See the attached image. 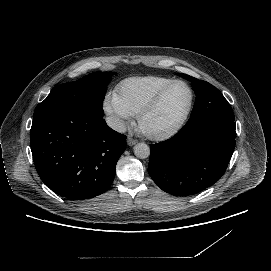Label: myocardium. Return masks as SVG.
I'll use <instances>...</instances> for the list:
<instances>
[{"instance_id": "1", "label": "myocardium", "mask_w": 271, "mask_h": 271, "mask_svg": "<svg viewBox=\"0 0 271 271\" xmlns=\"http://www.w3.org/2000/svg\"><path fill=\"white\" fill-rule=\"evenodd\" d=\"M178 83H184L186 84L190 90H191V101L189 104V107L186 111V113L184 114V116L181 118V120L172 128L166 130V131H162V132H157V133H149L146 132L145 130H143L142 128V124L145 121V119L151 115L161 104L163 98L165 97V95L167 94V92L176 84ZM195 100H196V92H195V88L193 87V85L188 82L187 80L184 79H175L173 81H171L170 83H168L166 86H164L159 92L158 94L154 97V99L141 111V113L138 116V124L139 127L145 132V134L153 139V140H157V141H163L166 139H169L171 137H173L174 135H176L183 127L184 125L187 123L194 105H195Z\"/></svg>"}]
</instances>
